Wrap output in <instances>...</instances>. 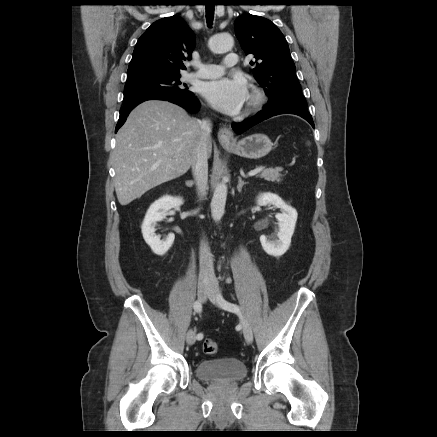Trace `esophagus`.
<instances>
[{"mask_svg": "<svg viewBox=\"0 0 437 437\" xmlns=\"http://www.w3.org/2000/svg\"><path fill=\"white\" fill-rule=\"evenodd\" d=\"M218 140L221 145H231L234 143V135L228 126L224 125L219 129Z\"/></svg>", "mask_w": 437, "mask_h": 437, "instance_id": "34e87169", "label": "esophagus"}]
</instances>
